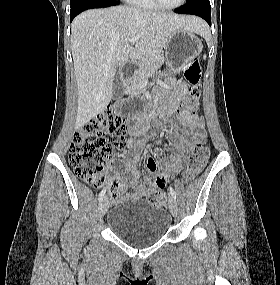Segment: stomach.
<instances>
[{"instance_id":"obj_1","label":"stomach","mask_w":280,"mask_h":285,"mask_svg":"<svg viewBox=\"0 0 280 285\" xmlns=\"http://www.w3.org/2000/svg\"><path fill=\"white\" fill-rule=\"evenodd\" d=\"M202 51L201 40L191 31L177 29L166 45V60L170 69L177 73L182 65L196 58Z\"/></svg>"}]
</instances>
